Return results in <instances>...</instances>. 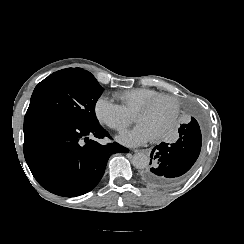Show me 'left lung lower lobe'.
Masks as SVG:
<instances>
[{
    "mask_svg": "<svg viewBox=\"0 0 244 244\" xmlns=\"http://www.w3.org/2000/svg\"><path fill=\"white\" fill-rule=\"evenodd\" d=\"M179 139L169 145L162 142L151 152L152 159H158V165L144 168L140 177L149 186L163 190L172 189L181 184L196 162L202 144L201 130L197 120L191 117L188 124L179 128Z\"/></svg>",
    "mask_w": 244,
    "mask_h": 244,
    "instance_id": "obj_1",
    "label": "left lung lower lobe"
}]
</instances>
